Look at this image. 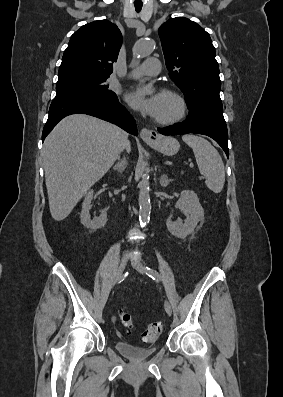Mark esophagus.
Wrapping results in <instances>:
<instances>
[{
	"label": "esophagus",
	"instance_id": "34e87169",
	"mask_svg": "<svg viewBox=\"0 0 283 397\" xmlns=\"http://www.w3.org/2000/svg\"><path fill=\"white\" fill-rule=\"evenodd\" d=\"M140 137L145 141V142H155L158 139V133L155 130H149L147 128H143L140 131Z\"/></svg>",
	"mask_w": 283,
	"mask_h": 397
}]
</instances>
